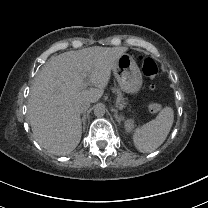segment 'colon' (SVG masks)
Here are the masks:
<instances>
[{
	"label": "colon",
	"instance_id": "1",
	"mask_svg": "<svg viewBox=\"0 0 208 208\" xmlns=\"http://www.w3.org/2000/svg\"><path fill=\"white\" fill-rule=\"evenodd\" d=\"M139 61L141 62L143 74L148 79L155 80L158 75V67L156 62L151 57L144 55L139 56ZM151 88L153 89L154 86L151 85ZM149 108L152 112H159L161 110V105L157 103H151Z\"/></svg>",
	"mask_w": 208,
	"mask_h": 208
}]
</instances>
